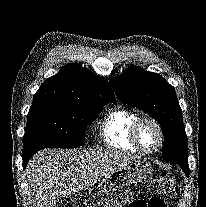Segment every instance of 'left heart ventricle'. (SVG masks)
I'll use <instances>...</instances> for the list:
<instances>
[{
    "label": "left heart ventricle",
    "instance_id": "b2bd125f",
    "mask_svg": "<svg viewBox=\"0 0 206 207\" xmlns=\"http://www.w3.org/2000/svg\"><path fill=\"white\" fill-rule=\"evenodd\" d=\"M138 135L141 145L148 150L154 149L159 143V133L149 122H144L140 126Z\"/></svg>",
    "mask_w": 206,
    "mask_h": 207
}]
</instances>
